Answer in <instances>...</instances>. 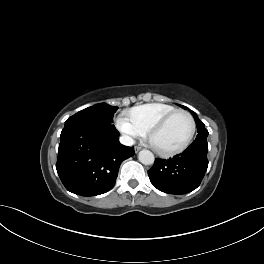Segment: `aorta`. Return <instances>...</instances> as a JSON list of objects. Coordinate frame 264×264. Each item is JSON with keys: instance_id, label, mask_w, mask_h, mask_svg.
<instances>
[{"instance_id": "obj_1", "label": "aorta", "mask_w": 264, "mask_h": 264, "mask_svg": "<svg viewBox=\"0 0 264 264\" xmlns=\"http://www.w3.org/2000/svg\"><path fill=\"white\" fill-rule=\"evenodd\" d=\"M138 159L144 165H152L155 161L154 154L149 150H141Z\"/></svg>"}]
</instances>
